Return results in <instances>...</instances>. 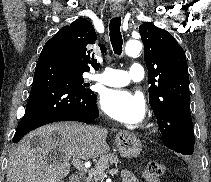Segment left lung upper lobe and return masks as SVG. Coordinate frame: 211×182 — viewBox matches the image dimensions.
<instances>
[{"label": "left lung upper lobe", "mask_w": 211, "mask_h": 182, "mask_svg": "<svg viewBox=\"0 0 211 182\" xmlns=\"http://www.w3.org/2000/svg\"><path fill=\"white\" fill-rule=\"evenodd\" d=\"M139 33L150 84L149 103L164 144L182 154L194 152L189 75L185 52L166 30L144 22Z\"/></svg>", "instance_id": "5c2ea615"}]
</instances>
